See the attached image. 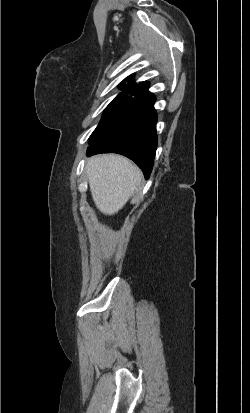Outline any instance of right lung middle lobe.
<instances>
[{
  "label": "right lung middle lobe",
  "mask_w": 250,
  "mask_h": 413,
  "mask_svg": "<svg viewBox=\"0 0 250 413\" xmlns=\"http://www.w3.org/2000/svg\"><path fill=\"white\" fill-rule=\"evenodd\" d=\"M132 96L134 95L120 93L114 98V100L106 107L99 125L89 137V144L103 136L119 121L134 99Z\"/></svg>",
  "instance_id": "obj_1"
}]
</instances>
